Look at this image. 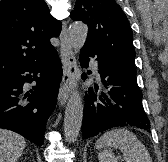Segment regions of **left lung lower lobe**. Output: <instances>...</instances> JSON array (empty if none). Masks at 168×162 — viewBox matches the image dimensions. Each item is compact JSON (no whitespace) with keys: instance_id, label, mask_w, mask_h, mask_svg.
I'll return each instance as SVG.
<instances>
[{"instance_id":"1","label":"left lung lower lobe","mask_w":168,"mask_h":162,"mask_svg":"<svg viewBox=\"0 0 168 162\" xmlns=\"http://www.w3.org/2000/svg\"><path fill=\"white\" fill-rule=\"evenodd\" d=\"M94 56L104 90L96 94L98 86L95 89L90 87L89 94L85 96L83 139L121 126H134L150 132V121L142 105V92L137 85L136 72L114 63L90 48L81 49V65L87 67V57ZM82 78L86 79L87 75L84 73Z\"/></svg>"}]
</instances>
